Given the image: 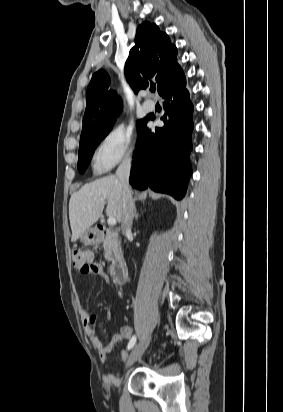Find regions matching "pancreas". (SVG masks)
<instances>
[{
    "instance_id": "obj_1",
    "label": "pancreas",
    "mask_w": 283,
    "mask_h": 412,
    "mask_svg": "<svg viewBox=\"0 0 283 412\" xmlns=\"http://www.w3.org/2000/svg\"><path fill=\"white\" fill-rule=\"evenodd\" d=\"M104 252H105V259L110 262L113 261L114 255L117 252V249L114 247L113 243L106 239L103 243Z\"/></svg>"
}]
</instances>
